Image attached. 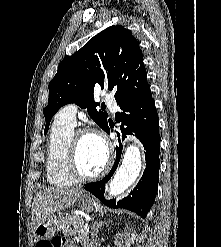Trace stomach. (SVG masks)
Masks as SVG:
<instances>
[{"label":"stomach","instance_id":"0dacf381","mask_svg":"<svg viewBox=\"0 0 221 247\" xmlns=\"http://www.w3.org/2000/svg\"><path fill=\"white\" fill-rule=\"evenodd\" d=\"M78 205L86 212H91L97 209L92 200L87 195H82L78 198ZM53 220L54 218L49 216L46 220L34 228V237L36 240L49 239L54 235L56 225L54 224Z\"/></svg>","mask_w":221,"mask_h":247}]
</instances>
